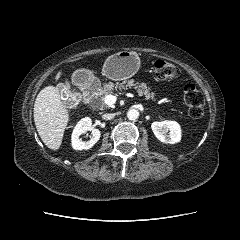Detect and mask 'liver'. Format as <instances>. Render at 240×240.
I'll use <instances>...</instances> for the list:
<instances>
[{"label":"liver","mask_w":240,"mask_h":240,"mask_svg":"<svg viewBox=\"0 0 240 240\" xmlns=\"http://www.w3.org/2000/svg\"><path fill=\"white\" fill-rule=\"evenodd\" d=\"M62 72H58V80ZM34 122L43 143L52 150H58L62 144L69 114L60 101L57 88L47 86L36 97L34 103Z\"/></svg>","instance_id":"1"}]
</instances>
